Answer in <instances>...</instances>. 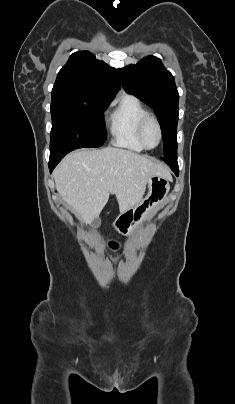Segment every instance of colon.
Masks as SVG:
<instances>
[{"label": "colon", "instance_id": "obj_1", "mask_svg": "<svg viewBox=\"0 0 235 404\" xmlns=\"http://www.w3.org/2000/svg\"><path fill=\"white\" fill-rule=\"evenodd\" d=\"M109 248H110V250H112V251H116V250L118 249V244H117L116 242H111V243L109 244Z\"/></svg>", "mask_w": 235, "mask_h": 404}]
</instances>
